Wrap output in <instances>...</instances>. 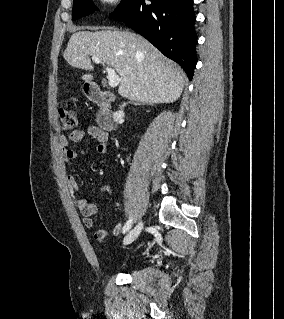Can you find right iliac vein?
Listing matches in <instances>:
<instances>
[{
	"instance_id": "right-iliac-vein-1",
	"label": "right iliac vein",
	"mask_w": 284,
	"mask_h": 319,
	"mask_svg": "<svg viewBox=\"0 0 284 319\" xmlns=\"http://www.w3.org/2000/svg\"><path fill=\"white\" fill-rule=\"evenodd\" d=\"M143 228V222H139L125 237L123 240L124 245L132 243L140 234Z\"/></svg>"
}]
</instances>
